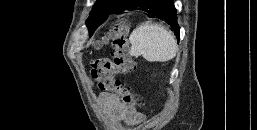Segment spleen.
I'll return each mask as SVG.
<instances>
[{"label":"spleen","instance_id":"3e777b00","mask_svg":"<svg viewBox=\"0 0 257 130\" xmlns=\"http://www.w3.org/2000/svg\"><path fill=\"white\" fill-rule=\"evenodd\" d=\"M130 55L142 56L148 62H167L176 56L174 36L159 24L145 23L130 34Z\"/></svg>","mask_w":257,"mask_h":130}]
</instances>
